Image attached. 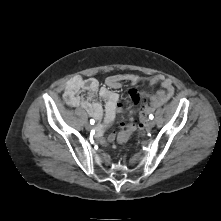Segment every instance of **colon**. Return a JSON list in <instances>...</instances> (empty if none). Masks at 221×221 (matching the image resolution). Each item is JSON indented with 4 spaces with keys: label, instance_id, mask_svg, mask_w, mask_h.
<instances>
[{
    "label": "colon",
    "instance_id": "5ec220e1",
    "mask_svg": "<svg viewBox=\"0 0 221 221\" xmlns=\"http://www.w3.org/2000/svg\"><path fill=\"white\" fill-rule=\"evenodd\" d=\"M148 108V107H145ZM149 111L144 110L142 112V115L145 116ZM138 123L136 119H129L128 123H123L122 126L119 129V132L116 134L115 139L118 144L123 145L128 141L132 140V132L138 130Z\"/></svg>",
    "mask_w": 221,
    "mask_h": 221
}]
</instances>
